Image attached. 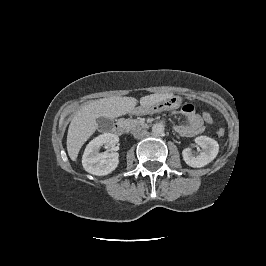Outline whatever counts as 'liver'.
<instances>
[{
	"instance_id": "liver-1",
	"label": "liver",
	"mask_w": 266,
	"mask_h": 266,
	"mask_svg": "<svg viewBox=\"0 0 266 266\" xmlns=\"http://www.w3.org/2000/svg\"><path fill=\"white\" fill-rule=\"evenodd\" d=\"M173 94L160 93L144 96L140 99L141 106L162 102ZM137 104L133 97H110L91 101L81 107L73 116L68 128L67 151L71 160L76 161L83 144L98 128L97 118H116L131 113Z\"/></svg>"
}]
</instances>
